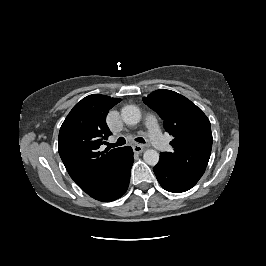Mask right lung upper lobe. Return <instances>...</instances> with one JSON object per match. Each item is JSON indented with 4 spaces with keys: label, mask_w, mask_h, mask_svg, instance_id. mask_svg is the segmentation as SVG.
<instances>
[{
    "label": "right lung upper lobe",
    "mask_w": 266,
    "mask_h": 266,
    "mask_svg": "<svg viewBox=\"0 0 266 266\" xmlns=\"http://www.w3.org/2000/svg\"><path fill=\"white\" fill-rule=\"evenodd\" d=\"M120 101L106 95H89L73 107L59 131L58 151L69 175L93 198L107 187L124 149L99 151L111 135L106 116Z\"/></svg>",
    "instance_id": "cb5924a9"
}]
</instances>
